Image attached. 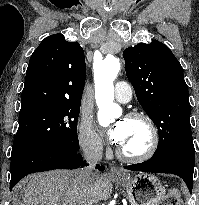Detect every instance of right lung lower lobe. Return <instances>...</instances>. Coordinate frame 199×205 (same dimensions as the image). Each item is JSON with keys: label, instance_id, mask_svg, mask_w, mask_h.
<instances>
[{"label": "right lung lower lobe", "instance_id": "obj_1", "mask_svg": "<svg viewBox=\"0 0 199 205\" xmlns=\"http://www.w3.org/2000/svg\"><path fill=\"white\" fill-rule=\"evenodd\" d=\"M62 145H51L11 159L10 190L26 175L53 169H77L85 165L82 155ZM96 168L104 170V166Z\"/></svg>", "mask_w": 199, "mask_h": 205}]
</instances>
